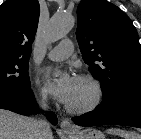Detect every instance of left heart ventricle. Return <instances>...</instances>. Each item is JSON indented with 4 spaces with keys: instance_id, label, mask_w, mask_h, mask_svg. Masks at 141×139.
I'll use <instances>...</instances> for the list:
<instances>
[{
    "instance_id": "left-heart-ventricle-1",
    "label": "left heart ventricle",
    "mask_w": 141,
    "mask_h": 139,
    "mask_svg": "<svg viewBox=\"0 0 141 139\" xmlns=\"http://www.w3.org/2000/svg\"><path fill=\"white\" fill-rule=\"evenodd\" d=\"M92 95V88L87 82L75 79L72 95L67 104L73 106L86 104L90 101Z\"/></svg>"
}]
</instances>
